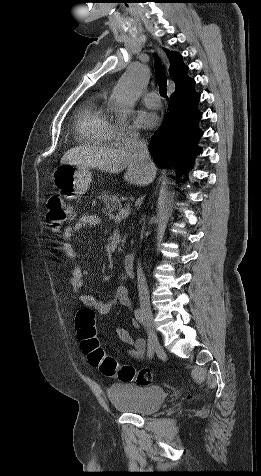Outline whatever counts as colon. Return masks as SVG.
Here are the masks:
<instances>
[{"label":"colon","mask_w":261,"mask_h":476,"mask_svg":"<svg viewBox=\"0 0 261 476\" xmlns=\"http://www.w3.org/2000/svg\"><path fill=\"white\" fill-rule=\"evenodd\" d=\"M46 217L50 227L58 230L73 218V210L60 196L53 195L46 202ZM95 320L96 314L91 307L83 306L78 310L77 335L89 363L107 377H116L122 382L136 381L141 385L149 384L152 380L150 370H136L131 365L120 364L105 353L96 337Z\"/></svg>","instance_id":"1"}]
</instances>
